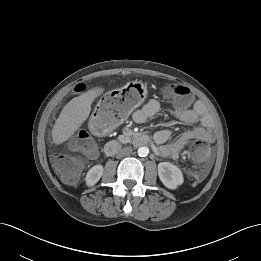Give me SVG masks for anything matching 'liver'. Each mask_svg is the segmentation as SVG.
I'll use <instances>...</instances> for the list:
<instances>
[{
  "label": "liver",
  "mask_w": 261,
  "mask_h": 261,
  "mask_svg": "<svg viewBox=\"0 0 261 261\" xmlns=\"http://www.w3.org/2000/svg\"><path fill=\"white\" fill-rule=\"evenodd\" d=\"M103 88H94L73 98L62 109L52 129V139L57 145L67 141L88 118L91 104L103 93Z\"/></svg>",
  "instance_id": "obj_1"
}]
</instances>
